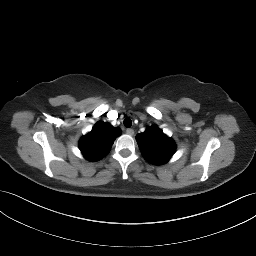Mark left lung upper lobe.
Masks as SVG:
<instances>
[{
    "label": "left lung upper lobe",
    "mask_w": 256,
    "mask_h": 256,
    "mask_svg": "<svg viewBox=\"0 0 256 256\" xmlns=\"http://www.w3.org/2000/svg\"><path fill=\"white\" fill-rule=\"evenodd\" d=\"M136 140L143 156L152 164L166 163L175 152L174 141L156 126L148 127Z\"/></svg>",
    "instance_id": "obj_1"
}]
</instances>
